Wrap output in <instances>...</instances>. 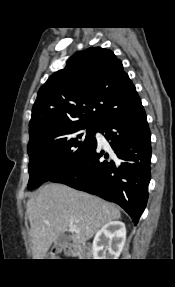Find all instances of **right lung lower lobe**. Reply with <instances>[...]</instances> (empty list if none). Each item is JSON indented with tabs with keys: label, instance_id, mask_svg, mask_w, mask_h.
<instances>
[{
	"label": "right lung lower lobe",
	"instance_id": "right-lung-lower-lobe-1",
	"mask_svg": "<svg viewBox=\"0 0 175 287\" xmlns=\"http://www.w3.org/2000/svg\"><path fill=\"white\" fill-rule=\"evenodd\" d=\"M112 149L109 156L94 147L78 165L50 181L117 203L136 224L148 199L151 133L141 101L98 129Z\"/></svg>",
	"mask_w": 175,
	"mask_h": 287
}]
</instances>
